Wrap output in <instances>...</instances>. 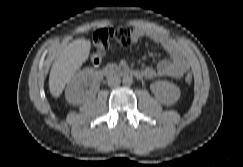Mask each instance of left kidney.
<instances>
[{
    "label": "left kidney",
    "mask_w": 243,
    "mask_h": 167,
    "mask_svg": "<svg viewBox=\"0 0 243 167\" xmlns=\"http://www.w3.org/2000/svg\"><path fill=\"white\" fill-rule=\"evenodd\" d=\"M155 98L165 105H172L180 98V89L168 81H156L150 85Z\"/></svg>",
    "instance_id": "obj_1"
}]
</instances>
